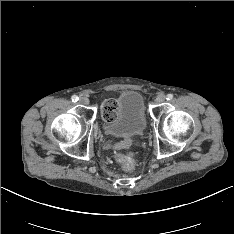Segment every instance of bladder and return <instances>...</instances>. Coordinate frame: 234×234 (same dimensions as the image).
<instances>
[{
	"instance_id": "31cf9c89",
	"label": "bladder",
	"mask_w": 234,
	"mask_h": 234,
	"mask_svg": "<svg viewBox=\"0 0 234 234\" xmlns=\"http://www.w3.org/2000/svg\"><path fill=\"white\" fill-rule=\"evenodd\" d=\"M147 123L143 96L138 91L127 90L117 96L114 117L106 121L105 128L114 136L132 137L142 134Z\"/></svg>"
}]
</instances>
